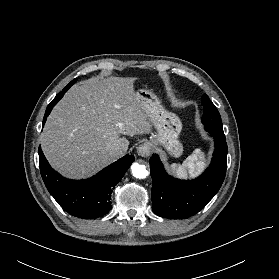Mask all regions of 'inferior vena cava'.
Masks as SVG:
<instances>
[{"mask_svg":"<svg viewBox=\"0 0 279 279\" xmlns=\"http://www.w3.org/2000/svg\"><path fill=\"white\" fill-rule=\"evenodd\" d=\"M123 154H124V151L119 147H116L110 151V155L113 157H119V156H122Z\"/></svg>","mask_w":279,"mask_h":279,"instance_id":"1","label":"inferior vena cava"}]
</instances>
